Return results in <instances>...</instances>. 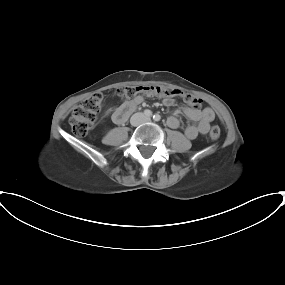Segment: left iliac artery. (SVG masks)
I'll list each match as a JSON object with an SVG mask.
<instances>
[{
	"mask_svg": "<svg viewBox=\"0 0 285 285\" xmlns=\"http://www.w3.org/2000/svg\"><path fill=\"white\" fill-rule=\"evenodd\" d=\"M153 119H154V121H159L161 119V117L159 114H155V115H153Z\"/></svg>",
	"mask_w": 285,
	"mask_h": 285,
	"instance_id": "obj_1",
	"label": "left iliac artery"
}]
</instances>
